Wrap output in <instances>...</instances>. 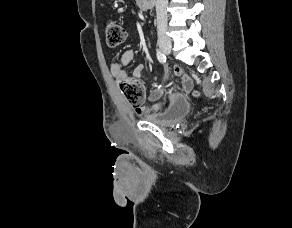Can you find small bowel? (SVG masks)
Masks as SVG:
<instances>
[{
    "label": "small bowel",
    "instance_id": "small-bowel-1",
    "mask_svg": "<svg viewBox=\"0 0 292 228\" xmlns=\"http://www.w3.org/2000/svg\"><path fill=\"white\" fill-rule=\"evenodd\" d=\"M135 56H136L135 51L133 50L125 51L122 54L120 60L111 65L110 67L111 74L117 80L128 78L129 74L125 68L135 59ZM143 71H144V66L138 65L133 70V76L136 79H141ZM173 73L175 77H180L181 79V91L180 92L174 91L170 93L169 98H170L171 105H174L184 100V94L189 93L193 89L192 79L188 75L184 74L183 70L179 66H175L173 68ZM164 74H166V70L164 71ZM163 91H164V85L163 84L158 85L149 93L147 97L148 101L156 102L163 94ZM163 107H164V104L161 102H158L147 108H138L137 113L143 116H150V115L159 113L163 109Z\"/></svg>",
    "mask_w": 292,
    "mask_h": 228
}]
</instances>
